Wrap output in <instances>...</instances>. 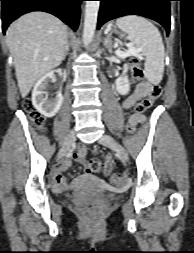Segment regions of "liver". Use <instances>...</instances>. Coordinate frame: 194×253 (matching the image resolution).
<instances>
[{
	"mask_svg": "<svg viewBox=\"0 0 194 253\" xmlns=\"http://www.w3.org/2000/svg\"><path fill=\"white\" fill-rule=\"evenodd\" d=\"M68 31L57 17L31 12L13 22L6 32V43L13 56L21 96L63 60Z\"/></svg>",
	"mask_w": 194,
	"mask_h": 253,
	"instance_id": "obj_1",
	"label": "liver"
}]
</instances>
